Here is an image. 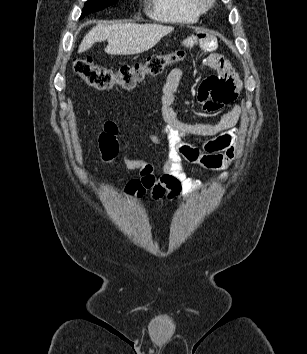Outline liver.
Returning a JSON list of instances; mask_svg holds the SVG:
<instances>
[{
	"instance_id": "obj_1",
	"label": "liver",
	"mask_w": 307,
	"mask_h": 354,
	"mask_svg": "<svg viewBox=\"0 0 307 354\" xmlns=\"http://www.w3.org/2000/svg\"><path fill=\"white\" fill-rule=\"evenodd\" d=\"M174 30L159 24L116 23L99 24L83 38L78 53L89 50L94 43L108 41L105 52L110 55H133L148 51Z\"/></svg>"
}]
</instances>
